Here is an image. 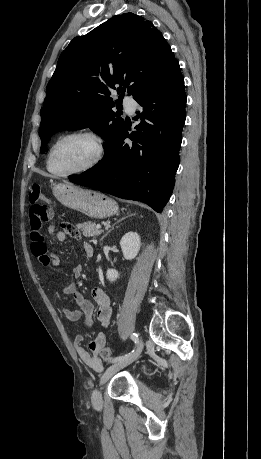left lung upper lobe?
I'll use <instances>...</instances> for the list:
<instances>
[{
    "label": "left lung upper lobe",
    "instance_id": "left-lung-upper-lobe-1",
    "mask_svg": "<svg viewBox=\"0 0 261 459\" xmlns=\"http://www.w3.org/2000/svg\"><path fill=\"white\" fill-rule=\"evenodd\" d=\"M175 61L161 32L133 13L114 16L74 38L47 85L41 109V152L55 132L89 127L106 141V155L125 128L112 110L120 108L124 92L136 99ZM111 89L121 93L118 100L111 97Z\"/></svg>",
    "mask_w": 261,
    "mask_h": 459
}]
</instances>
